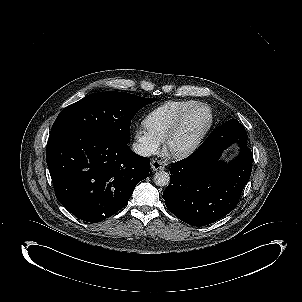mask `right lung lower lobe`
<instances>
[{"instance_id":"98d812e1","label":"right lung lower lobe","mask_w":302,"mask_h":302,"mask_svg":"<svg viewBox=\"0 0 302 302\" xmlns=\"http://www.w3.org/2000/svg\"><path fill=\"white\" fill-rule=\"evenodd\" d=\"M46 159L56 198L77 218L93 223L122 209L150 171L148 158L97 132L49 139Z\"/></svg>"}]
</instances>
